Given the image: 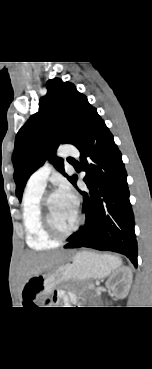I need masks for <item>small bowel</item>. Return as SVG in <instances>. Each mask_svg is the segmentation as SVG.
I'll use <instances>...</instances> for the list:
<instances>
[{
    "label": "small bowel",
    "instance_id": "1",
    "mask_svg": "<svg viewBox=\"0 0 152 369\" xmlns=\"http://www.w3.org/2000/svg\"><path fill=\"white\" fill-rule=\"evenodd\" d=\"M70 297H71V299H72V300H74V299H75V296H74V295H71Z\"/></svg>",
    "mask_w": 152,
    "mask_h": 369
}]
</instances>
